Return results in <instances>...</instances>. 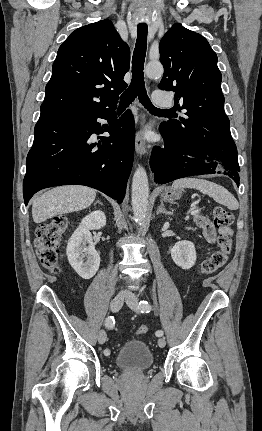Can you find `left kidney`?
<instances>
[{
  "label": "left kidney",
  "instance_id": "obj_1",
  "mask_svg": "<svg viewBox=\"0 0 262 431\" xmlns=\"http://www.w3.org/2000/svg\"><path fill=\"white\" fill-rule=\"evenodd\" d=\"M171 257L177 266L190 269L196 262L194 244L187 240L177 242L171 249Z\"/></svg>",
  "mask_w": 262,
  "mask_h": 431
}]
</instances>
